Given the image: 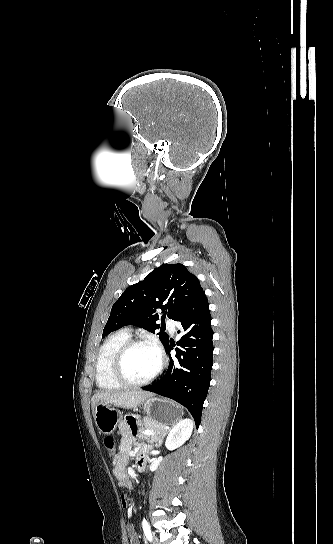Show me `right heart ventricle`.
Returning a JSON list of instances; mask_svg holds the SVG:
<instances>
[{
	"label": "right heart ventricle",
	"mask_w": 333,
	"mask_h": 544,
	"mask_svg": "<svg viewBox=\"0 0 333 544\" xmlns=\"http://www.w3.org/2000/svg\"><path fill=\"white\" fill-rule=\"evenodd\" d=\"M130 338L128 330H119L109 335L101 344L95 364V381L100 389L111 391L123 386L112 375V362L117 350Z\"/></svg>",
	"instance_id": "1"
}]
</instances>
